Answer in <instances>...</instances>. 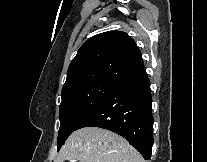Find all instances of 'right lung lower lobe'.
<instances>
[{
  "instance_id": "1",
  "label": "right lung lower lobe",
  "mask_w": 207,
  "mask_h": 162,
  "mask_svg": "<svg viewBox=\"0 0 207 162\" xmlns=\"http://www.w3.org/2000/svg\"><path fill=\"white\" fill-rule=\"evenodd\" d=\"M150 82L143 70L128 77L103 98L79 123L113 131L150 160L153 143Z\"/></svg>"
}]
</instances>
